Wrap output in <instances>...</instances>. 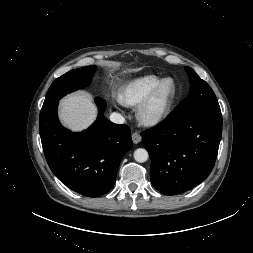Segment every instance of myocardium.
<instances>
[{
	"instance_id": "obj_1",
	"label": "myocardium",
	"mask_w": 253,
	"mask_h": 253,
	"mask_svg": "<svg viewBox=\"0 0 253 253\" xmlns=\"http://www.w3.org/2000/svg\"><path fill=\"white\" fill-rule=\"evenodd\" d=\"M168 82L172 84V91L161 103H158L162 89ZM176 96L177 84L175 80L171 77L161 79L138 106L137 116L141 124L155 126L161 123L169 115Z\"/></svg>"
}]
</instances>
